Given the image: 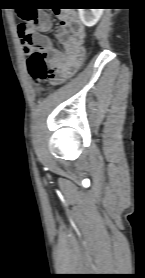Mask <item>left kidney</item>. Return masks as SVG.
I'll list each match as a JSON object with an SVG mask.
<instances>
[{
    "instance_id": "obj_1",
    "label": "left kidney",
    "mask_w": 145,
    "mask_h": 278,
    "mask_svg": "<svg viewBox=\"0 0 145 278\" xmlns=\"http://www.w3.org/2000/svg\"><path fill=\"white\" fill-rule=\"evenodd\" d=\"M104 9H78L81 21L87 27L94 26L101 15L103 14Z\"/></svg>"
}]
</instances>
